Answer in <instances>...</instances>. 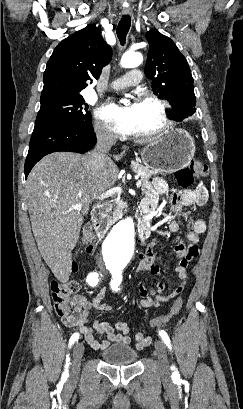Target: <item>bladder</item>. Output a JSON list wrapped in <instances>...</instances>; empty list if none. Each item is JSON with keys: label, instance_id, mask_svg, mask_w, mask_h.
<instances>
[{"label": "bladder", "instance_id": "1", "mask_svg": "<svg viewBox=\"0 0 243 409\" xmlns=\"http://www.w3.org/2000/svg\"><path fill=\"white\" fill-rule=\"evenodd\" d=\"M101 359L108 365L128 366L137 361L138 353L128 345L114 344L101 351Z\"/></svg>", "mask_w": 243, "mask_h": 409}]
</instances>
